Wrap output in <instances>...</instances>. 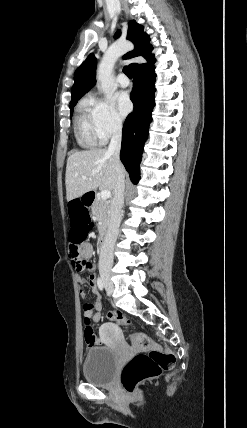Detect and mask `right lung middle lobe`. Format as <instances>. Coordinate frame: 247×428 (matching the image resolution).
<instances>
[{
	"mask_svg": "<svg viewBox=\"0 0 247 428\" xmlns=\"http://www.w3.org/2000/svg\"><path fill=\"white\" fill-rule=\"evenodd\" d=\"M76 105V103L75 104H72V105H70V110H71V115H70V117H72V113H73V109H74V106Z\"/></svg>",
	"mask_w": 247,
	"mask_h": 428,
	"instance_id": "1",
	"label": "right lung middle lobe"
}]
</instances>
